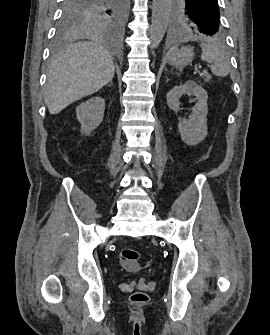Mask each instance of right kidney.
Here are the masks:
<instances>
[{"label": "right kidney", "mask_w": 270, "mask_h": 335, "mask_svg": "<svg viewBox=\"0 0 270 335\" xmlns=\"http://www.w3.org/2000/svg\"><path fill=\"white\" fill-rule=\"evenodd\" d=\"M104 110L105 102L99 96L90 98L87 102L80 104L76 108V116L78 122L81 124V132L89 136L95 128H98L103 120Z\"/></svg>", "instance_id": "1"}]
</instances>
